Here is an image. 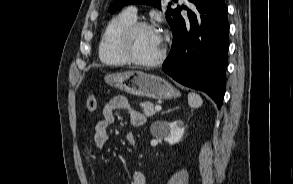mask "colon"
I'll return each mask as SVG.
<instances>
[{
  "label": "colon",
  "mask_w": 293,
  "mask_h": 184,
  "mask_svg": "<svg viewBox=\"0 0 293 184\" xmlns=\"http://www.w3.org/2000/svg\"><path fill=\"white\" fill-rule=\"evenodd\" d=\"M86 105H87V109L90 112H93V111L96 110V108H97V98H96L95 94L92 93V94H90L88 96Z\"/></svg>",
  "instance_id": "obj_1"
}]
</instances>
